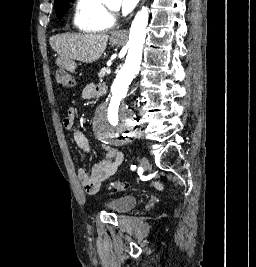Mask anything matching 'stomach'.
Returning <instances> with one entry per match:
<instances>
[{
    "label": "stomach",
    "mask_w": 256,
    "mask_h": 267,
    "mask_svg": "<svg viewBox=\"0 0 256 267\" xmlns=\"http://www.w3.org/2000/svg\"><path fill=\"white\" fill-rule=\"evenodd\" d=\"M119 40H123V38H115V36H113V38H111V42L112 44H117V42H119ZM54 67H75V62H54Z\"/></svg>",
    "instance_id": "1"
}]
</instances>
